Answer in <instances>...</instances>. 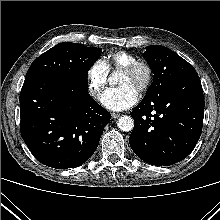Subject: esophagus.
<instances>
[{"instance_id":"esophagus-1","label":"esophagus","mask_w":220,"mask_h":220,"mask_svg":"<svg viewBox=\"0 0 220 220\" xmlns=\"http://www.w3.org/2000/svg\"><path fill=\"white\" fill-rule=\"evenodd\" d=\"M111 116H112V118L117 119L121 116V114L113 112V113H111Z\"/></svg>"}]
</instances>
